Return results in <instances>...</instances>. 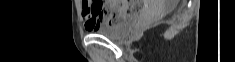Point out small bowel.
Segmentation results:
<instances>
[{
	"label": "small bowel",
	"instance_id": "small-bowel-1",
	"mask_svg": "<svg viewBox=\"0 0 235 62\" xmlns=\"http://www.w3.org/2000/svg\"><path fill=\"white\" fill-rule=\"evenodd\" d=\"M113 2L106 3L105 6L100 9L94 8V3L89 1L82 2V17L84 21L85 28L88 31H94L101 26L103 22H109L111 17V9ZM125 5L132 9L134 6L138 5L134 2H127ZM133 11H130L131 13Z\"/></svg>",
	"mask_w": 235,
	"mask_h": 62
}]
</instances>
